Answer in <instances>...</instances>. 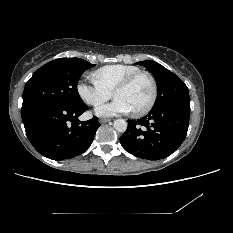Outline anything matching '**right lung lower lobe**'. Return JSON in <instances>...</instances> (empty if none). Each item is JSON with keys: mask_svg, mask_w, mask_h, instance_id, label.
<instances>
[{"mask_svg": "<svg viewBox=\"0 0 233 233\" xmlns=\"http://www.w3.org/2000/svg\"><path fill=\"white\" fill-rule=\"evenodd\" d=\"M88 109L44 103L21 111L30 143L43 156L53 160L73 158L89 148L100 123L97 117L79 121Z\"/></svg>", "mask_w": 233, "mask_h": 233, "instance_id": "98d812e1", "label": "right lung lower lobe"}]
</instances>
